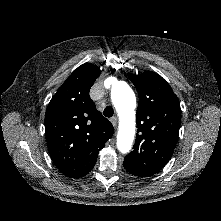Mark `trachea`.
<instances>
[{"instance_id": "obj_1", "label": "trachea", "mask_w": 221, "mask_h": 221, "mask_svg": "<svg viewBox=\"0 0 221 221\" xmlns=\"http://www.w3.org/2000/svg\"><path fill=\"white\" fill-rule=\"evenodd\" d=\"M113 114H114V110L111 106H107L103 111V115L108 118L112 117Z\"/></svg>"}]
</instances>
